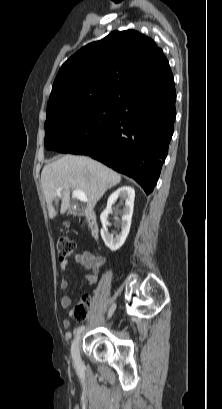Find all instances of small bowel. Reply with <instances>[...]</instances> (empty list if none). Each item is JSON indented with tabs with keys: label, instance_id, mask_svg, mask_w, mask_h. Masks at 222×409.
<instances>
[{
	"label": "small bowel",
	"instance_id": "obj_1",
	"mask_svg": "<svg viewBox=\"0 0 222 409\" xmlns=\"http://www.w3.org/2000/svg\"><path fill=\"white\" fill-rule=\"evenodd\" d=\"M73 260L78 264H81L85 268L89 269L91 272L85 275V279L89 285H94L98 279V272L102 264V260L93 256L89 251H83L77 253ZM65 268V264L62 265ZM60 287L62 289H67L69 287V282L67 279H62L60 282ZM72 304L70 296L63 295L60 299V305L62 308H69ZM71 321L69 319L63 320V327L66 330L65 336L69 338L71 336L70 331Z\"/></svg>",
	"mask_w": 222,
	"mask_h": 409
}]
</instances>
